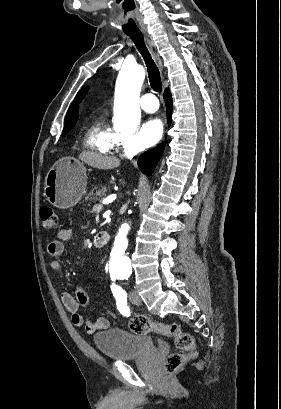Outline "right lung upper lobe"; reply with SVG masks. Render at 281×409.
Here are the masks:
<instances>
[{"instance_id":"obj_1","label":"right lung upper lobe","mask_w":281,"mask_h":409,"mask_svg":"<svg viewBox=\"0 0 281 409\" xmlns=\"http://www.w3.org/2000/svg\"><path fill=\"white\" fill-rule=\"evenodd\" d=\"M77 119V109H73L72 107L69 108L66 118H65V125H75Z\"/></svg>"}]
</instances>
